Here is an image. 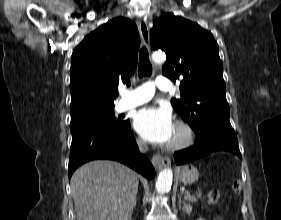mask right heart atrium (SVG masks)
I'll use <instances>...</instances> for the list:
<instances>
[{"label":"right heart atrium","mask_w":281,"mask_h":220,"mask_svg":"<svg viewBox=\"0 0 281 220\" xmlns=\"http://www.w3.org/2000/svg\"><path fill=\"white\" fill-rule=\"evenodd\" d=\"M137 143H138V145L141 146V147H144V146H145L144 141L141 140V139H138V140H137Z\"/></svg>","instance_id":"right-heart-atrium-1"}]
</instances>
